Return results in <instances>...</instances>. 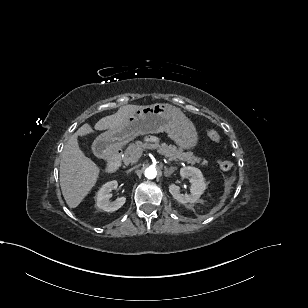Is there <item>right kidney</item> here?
<instances>
[{
    "mask_svg": "<svg viewBox=\"0 0 308 308\" xmlns=\"http://www.w3.org/2000/svg\"><path fill=\"white\" fill-rule=\"evenodd\" d=\"M117 187H118V182L116 180H113L107 182L100 188V190L97 192L96 195V205L99 209H102L103 211L106 212H114L124 205L126 201V197L124 196L117 198L113 202L110 201L111 198L110 192L112 190L117 189Z\"/></svg>",
    "mask_w": 308,
    "mask_h": 308,
    "instance_id": "1",
    "label": "right kidney"
}]
</instances>
